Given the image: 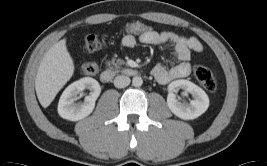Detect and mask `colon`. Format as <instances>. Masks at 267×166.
I'll return each instance as SVG.
<instances>
[{
  "mask_svg": "<svg viewBox=\"0 0 267 166\" xmlns=\"http://www.w3.org/2000/svg\"><path fill=\"white\" fill-rule=\"evenodd\" d=\"M148 26L142 23H123L121 25V32L123 34L143 33L147 32ZM84 50L86 52H96L104 48L105 43L101 37L95 34H89L84 38ZM193 75L199 83L208 91L214 93L217 91V81L212 72L204 66L194 65ZM81 71L85 75H93L97 71V65L95 63H84L81 67Z\"/></svg>",
  "mask_w": 267,
  "mask_h": 166,
  "instance_id": "colon-1",
  "label": "colon"
}]
</instances>
